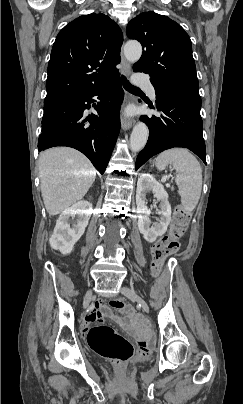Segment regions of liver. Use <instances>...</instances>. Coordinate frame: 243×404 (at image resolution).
<instances>
[{"label": "liver", "instance_id": "6515ba94", "mask_svg": "<svg viewBox=\"0 0 243 404\" xmlns=\"http://www.w3.org/2000/svg\"><path fill=\"white\" fill-rule=\"evenodd\" d=\"M38 170L44 206L50 216L83 200L96 178L88 158L73 148H51L39 156Z\"/></svg>", "mask_w": 243, "mask_h": 404}]
</instances>
